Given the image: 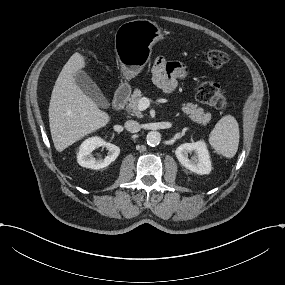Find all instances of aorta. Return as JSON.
<instances>
[{
    "label": "aorta",
    "mask_w": 285,
    "mask_h": 285,
    "mask_svg": "<svg viewBox=\"0 0 285 285\" xmlns=\"http://www.w3.org/2000/svg\"><path fill=\"white\" fill-rule=\"evenodd\" d=\"M147 144L150 146H157L161 141V134L157 131H150L146 137Z\"/></svg>",
    "instance_id": "aorta-1"
}]
</instances>
